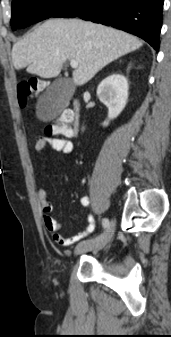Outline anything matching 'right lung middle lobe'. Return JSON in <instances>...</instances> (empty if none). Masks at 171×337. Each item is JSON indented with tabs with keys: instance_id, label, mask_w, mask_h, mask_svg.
<instances>
[{
	"instance_id": "dd1d6c3e",
	"label": "right lung middle lobe",
	"mask_w": 171,
	"mask_h": 337,
	"mask_svg": "<svg viewBox=\"0 0 171 337\" xmlns=\"http://www.w3.org/2000/svg\"><path fill=\"white\" fill-rule=\"evenodd\" d=\"M74 0H12L13 30L51 17Z\"/></svg>"
}]
</instances>
